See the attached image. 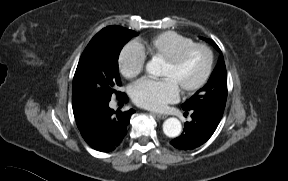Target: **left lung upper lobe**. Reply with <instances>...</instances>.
Returning a JSON list of instances; mask_svg holds the SVG:
<instances>
[{
    "mask_svg": "<svg viewBox=\"0 0 288 181\" xmlns=\"http://www.w3.org/2000/svg\"><path fill=\"white\" fill-rule=\"evenodd\" d=\"M218 48L216 43L205 39ZM227 100V74L223 55H220L218 63L207 84L199 89L183 105L185 111L196 109L205 110L215 116L222 117Z\"/></svg>",
    "mask_w": 288,
    "mask_h": 181,
    "instance_id": "left-lung-upper-lobe-1",
    "label": "left lung upper lobe"
}]
</instances>
